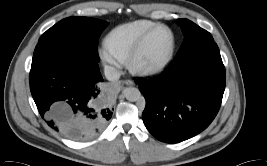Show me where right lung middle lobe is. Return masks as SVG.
I'll return each mask as SVG.
<instances>
[{
	"label": "right lung middle lobe",
	"instance_id": "right-lung-middle-lobe-1",
	"mask_svg": "<svg viewBox=\"0 0 267 166\" xmlns=\"http://www.w3.org/2000/svg\"><path fill=\"white\" fill-rule=\"evenodd\" d=\"M107 22L88 17H68L42 34L39 41L58 40L72 45L99 61L97 43Z\"/></svg>",
	"mask_w": 267,
	"mask_h": 166
}]
</instances>
